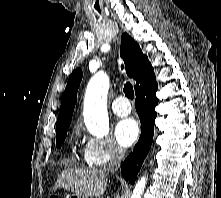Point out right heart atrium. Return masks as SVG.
<instances>
[{
  "mask_svg": "<svg viewBox=\"0 0 221 198\" xmlns=\"http://www.w3.org/2000/svg\"><path fill=\"white\" fill-rule=\"evenodd\" d=\"M125 151L111 138H89L84 147V157L91 166H104L121 160Z\"/></svg>",
  "mask_w": 221,
  "mask_h": 198,
  "instance_id": "1",
  "label": "right heart atrium"
}]
</instances>
